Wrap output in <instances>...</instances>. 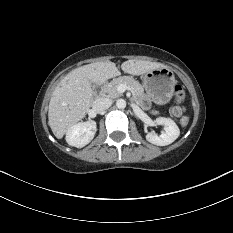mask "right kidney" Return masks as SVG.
Wrapping results in <instances>:
<instances>
[{"label":"right kidney","instance_id":"obj_1","mask_svg":"<svg viewBox=\"0 0 233 233\" xmlns=\"http://www.w3.org/2000/svg\"><path fill=\"white\" fill-rule=\"evenodd\" d=\"M96 130V122L93 120L77 123L67 131L66 142L70 146L82 148L91 142Z\"/></svg>","mask_w":233,"mask_h":233}]
</instances>
